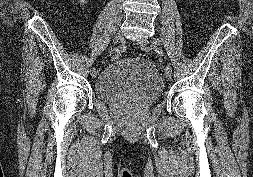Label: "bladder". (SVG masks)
I'll use <instances>...</instances> for the list:
<instances>
[{
	"mask_svg": "<svg viewBox=\"0 0 253 177\" xmlns=\"http://www.w3.org/2000/svg\"><path fill=\"white\" fill-rule=\"evenodd\" d=\"M163 89V80L153 63L137 58L114 60L94 82V94L104 102L132 99L149 106L162 96Z\"/></svg>",
	"mask_w": 253,
	"mask_h": 177,
	"instance_id": "1",
	"label": "bladder"
}]
</instances>
